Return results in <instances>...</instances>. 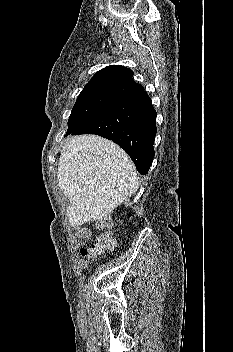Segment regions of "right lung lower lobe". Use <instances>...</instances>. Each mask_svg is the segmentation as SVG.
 Here are the masks:
<instances>
[{"label": "right lung lower lobe", "instance_id": "98d812e1", "mask_svg": "<svg viewBox=\"0 0 233 352\" xmlns=\"http://www.w3.org/2000/svg\"><path fill=\"white\" fill-rule=\"evenodd\" d=\"M156 111L146 91L109 107L66 136L96 134L112 140L131 157L141 175H146L154 158Z\"/></svg>", "mask_w": 233, "mask_h": 352}]
</instances>
